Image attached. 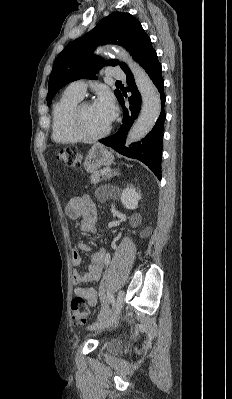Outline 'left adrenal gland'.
<instances>
[{"mask_svg":"<svg viewBox=\"0 0 232 399\" xmlns=\"http://www.w3.org/2000/svg\"><path fill=\"white\" fill-rule=\"evenodd\" d=\"M110 174V178H112V176H120V174H118V172H116V170H111V172H109Z\"/></svg>","mask_w":232,"mask_h":399,"instance_id":"obj_1","label":"left adrenal gland"}]
</instances>
